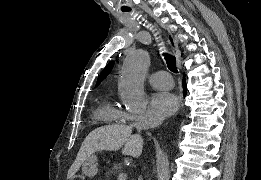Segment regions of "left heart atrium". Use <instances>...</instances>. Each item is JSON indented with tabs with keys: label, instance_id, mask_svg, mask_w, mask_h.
I'll return each instance as SVG.
<instances>
[{
	"label": "left heart atrium",
	"instance_id": "left-heart-atrium-1",
	"mask_svg": "<svg viewBox=\"0 0 261 180\" xmlns=\"http://www.w3.org/2000/svg\"><path fill=\"white\" fill-rule=\"evenodd\" d=\"M177 105L175 95L165 90H158L152 95L148 110L160 116H168L176 110Z\"/></svg>",
	"mask_w": 261,
	"mask_h": 180
}]
</instances>
